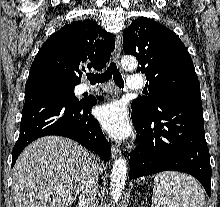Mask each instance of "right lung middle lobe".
Masks as SVG:
<instances>
[{"label":"right lung middle lobe","instance_id":"dd1d6c3e","mask_svg":"<svg viewBox=\"0 0 220 207\" xmlns=\"http://www.w3.org/2000/svg\"><path fill=\"white\" fill-rule=\"evenodd\" d=\"M50 80L52 82H54V83H61V84H63L69 90V92L75 97V95H74V87H75L76 84L67 83V82H64V81L57 80V79H50Z\"/></svg>","mask_w":220,"mask_h":207}]
</instances>
